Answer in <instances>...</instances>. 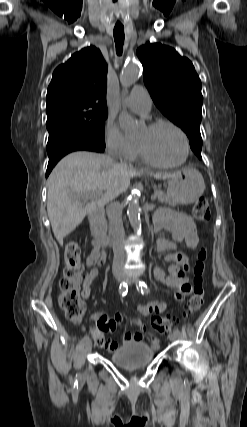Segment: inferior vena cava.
I'll list each match as a JSON object with an SVG mask.
<instances>
[{"mask_svg":"<svg viewBox=\"0 0 247 427\" xmlns=\"http://www.w3.org/2000/svg\"><path fill=\"white\" fill-rule=\"evenodd\" d=\"M106 213L109 220V232L113 246V273L116 274L122 271L125 262V250L123 241L125 237L121 208L117 202H108L106 206Z\"/></svg>","mask_w":247,"mask_h":427,"instance_id":"inferior-vena-cava-1","label":"inferior vena cava"}]
</instances>
